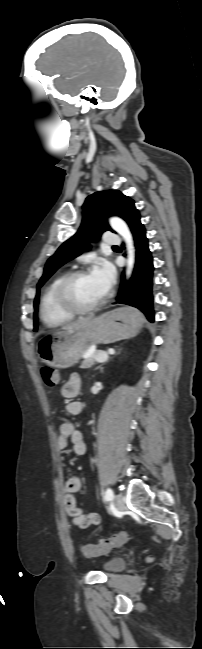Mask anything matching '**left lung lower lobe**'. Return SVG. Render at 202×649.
I'll return each instance as SVG.
<instances>
[{"mask_svg": "<svg viewBox=\"0 0 202 649\" xmlns=\"http://www.w3.org/2000/svg\"><path fill=\"white\" fill-rule=\"evenodd\" d=\"M136 247V263L129 282H125L124 273L116 303L127 304L141 310L150 322L154 321L152 275L153 258L148 247L146 231L140 222V216L134 217L130 224Z\"/></svg>", "mask_w": 202, "mask_h": 649, "instance_id": "obj_1", "label": "left lung lower lobe"}]
</instances>
